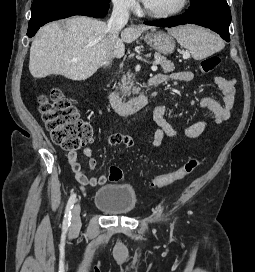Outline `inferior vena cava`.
Instances as JSON below:
<instances>
[{"instance_id":"1","label":"inferior vena cava","mask_w":255,"mask_h":272,"mask_svg":"<svg viewBox=\"0 0 255 272\" xmlns=\"http://www.w3.org/2000/svg\"><path fill=\"white\" fill-rule=\"evenodd\" d=\"M129 19V5L123 0L116 1L113 6L111 17L107 23V31L110 37V43L113 45L118 39L119 32ZM111 59L104 62L108 65Z\"/></svg>"}]
</instances>
